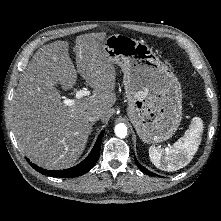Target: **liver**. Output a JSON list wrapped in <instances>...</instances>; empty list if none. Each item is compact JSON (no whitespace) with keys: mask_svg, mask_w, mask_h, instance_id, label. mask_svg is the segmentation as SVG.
Instances as JSON below:
<instances>
[{"mask_svg":"<svg viewBox=\"0 0 221 221\" xmlns=\"http://www.w3.org/2000/svg\"><path fill=\"white\" fill-rule=\"evenodd\" d=\"M106 36L104 32L77 36V70L69 56V42L56 41L39 48L21 74L11 125L20 150L35 164L47 169L71 166L88 140L87 113L97 110L103 122L108 119L116 102V71L103 49ZM77 72L94 90L66 106L56 87L73 89Z\"/></svg>","mask_w":221,"mask_h":221,"instance_id":"1","label":"liver"}]
</instances>
